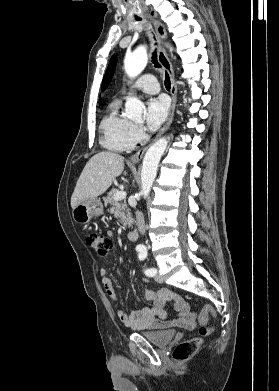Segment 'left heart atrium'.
Returning a JSON list of instances; mask_svg holds the SVG:
<instances>
[{"mask_svg":"<svg viewBox=\"0 0 279 391\" xmlns=\"http://www.w3.org/2000/svg\"><path fill=\"white\" fill-rule=\"evenodd\" d=\"M169 103L164 96L148 100L145 111V121L149 129H155L166 119Z\"/></svg>","mask_w":279,"mask_h":391,"instance_id":"1","label":"left heart atrium"}]
</instances>
